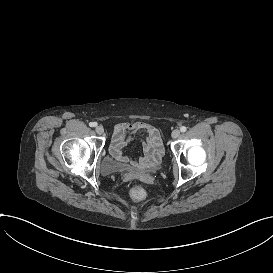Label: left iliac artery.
Here are the masks:
<instances>
[{
  "label": "left iliac artery",
  "instance_id": "44dca946",
  "mask_svg": "<svg viewBox=\"0 0 273 273\" xmlns=\"http://www.w3.org/2000/svg\"><path fill=\"white\" fill-rule=\"evenodd\" d=\"M186 130H187V128H186L185 126H182V127L180 128V131H181V132H186Z\"/></svg>",
  "mask_w": 273,
  "mask_h": 273
}]
</instances>
